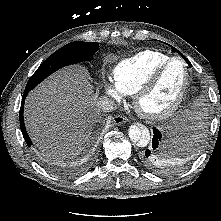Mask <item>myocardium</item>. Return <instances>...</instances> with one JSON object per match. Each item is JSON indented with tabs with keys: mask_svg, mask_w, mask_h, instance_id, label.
Masks as SVG:
<instances>
[{
	"mask_svg": "<svg viewBox=\"0 0 221 221\" xmlns=\"http://www.w3.org/2000/svg\"><path fill=\"white\" fill-rule=\"evenodd\" d=\"M175 61H179L183 64L184 70H185V80L182 86V89L176 99L166 108L159 110V111H146L142 108L141 103L143 99L148 96L154 88L159 83L161 77L167 70V68ZM190 70L188 67L187 62L179 57H170L167 61H165L161 66H159L152 75L141 85V87L135 92L134 94V107L136 111L145 119L151 120V121H159L163 120L169 116H171L176 110L180 107L182 102L184 101L189 87H190Z\"/></svg>",
	"mask_w": 221,
	"mask_h": 221,
	"instance_id": "obj_1",
	"label": "myocardium"
}]
</instances>
